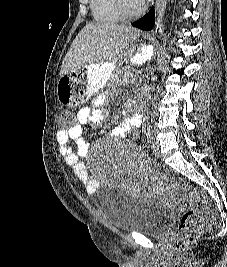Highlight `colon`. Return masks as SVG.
Masks as SVG:
<instances>
[{
    "instance_id": "1",
    "label": "colon",
    "mask_w": 227,
    "mask_h": 267,
    "mask_svg": "<svg viewBox=\"0 0 227 267\" xmlns=\"http://www.w3.org/2000/svg\"><path fill=\"white\" fill-rule=\"evenodd\" d=\"M72 115L74 110H63L60 130H69ZM162 183L182 204L189 206L181 215L174 233V248L180 251L198 235L212 229L216 224V218L206 195L184 179L168 175L162 179Z\"/></svg>"
}]
</instances>
